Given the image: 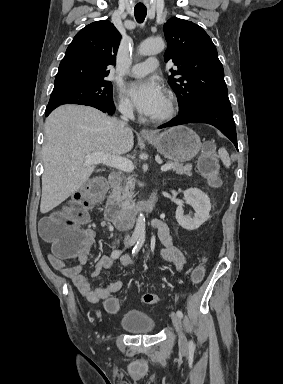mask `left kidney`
I'll use <instances>...</instances> for the list:
<instances>
[{"instance_id": "5707ae66", "label": "left kidney", "mask_w": 283, "mask_h": 384, "mask_svg": "<svg viewBox=\"0 0 283 384\" xmlns=\"http://www.w3.org/2000/svg\"><path fill=\"white\" fill-rule=\"evenodd\" d=\"M185 204H189L195 210L194 216H184L183 206L176 208L175 216L179 226L185 230H197L204 222L209 220V212L211 210L210 200L207 194L198 190V188H189L185 190Z\"/></svg>"}]
</instances>
